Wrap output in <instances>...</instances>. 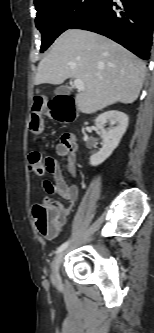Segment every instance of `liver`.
<instances>
[{
	"label": "liver",
	"mask_w": 154,
	"mask_h": 333,
	"mask_svg": "<svg viewBox=\"0 0 154 333\" xmlns=\"http://www.w3.org/2000/svg\"><path fill=\"white\" fill-rule=\"evenodd\" d=\"M146 65L118 43L94 32L69 29L40 61L34 84L60 85L81 79L76 94L79 111L95 113L117 102L133 103L139 96Z\"/></svg>",
	"instance_id": "liver-1"
}]
</instances>
